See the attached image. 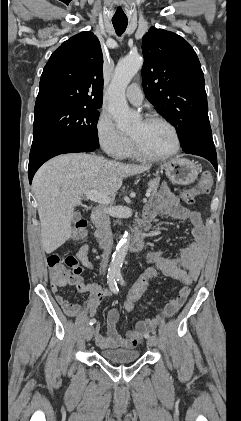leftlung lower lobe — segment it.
Here are the masks:
<instances>
[{
    "label": "left lung lower lobe",
    "instance_id": "obj_1",
    "mask_svg": "<svg viewBox=\"0 0 241 421\" xmlns=\"http://www.w3.org/2000/svg\"><path fill=\"white\" fill-rule=\"evenodd\" d=\"M183 151L188 154L198 155L208 159L217 170V156L212 138L203 139L192 147Z\"/></svg>",
    "mask_w": 241,
    "mask_h": 421
}]
</instances>
